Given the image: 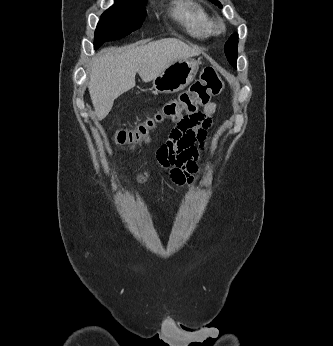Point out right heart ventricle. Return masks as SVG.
<instances>
[{
    "label": "right heart ventricle",
    "instance_id": "right-heart-ventricle-1",
    "mask_svg": "<svg viewBox=\"0 0 333 346\" xmlns=\"http://www.w3.org/2000/svg\"><path fill=\"white\" fill-rule=\"evenodd\" d=\"M172 16L197 39H205L213 33V18L199 0H174Z\"/></svg>",
    "mask_w": 333,
    "mask_h": 346
}]
</instances>
